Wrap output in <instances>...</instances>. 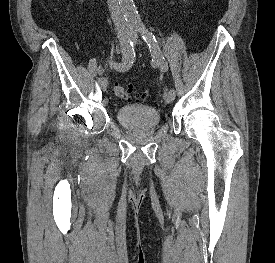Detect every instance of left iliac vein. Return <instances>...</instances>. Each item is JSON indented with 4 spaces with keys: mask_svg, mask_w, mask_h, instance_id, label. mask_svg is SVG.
<instances>
[{
    "mask_svg": "<svg viewBox=\"0 0 275 263\" xmlns=\"http://www.w3.org/2000/svg\"><path fill=\"white\" fill-rule=\"evenodd\" d=\"M163 98L167 103H171L175 99V94L171 93V92H166V93H164Z\"/></svg>",
    "mask_w": 275,
    "mask_h": 263,
    "instance_id": "1",
    "label": "left iliac vein"
}]
</instances>
